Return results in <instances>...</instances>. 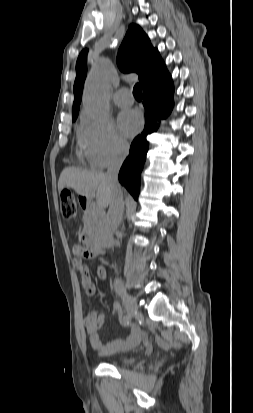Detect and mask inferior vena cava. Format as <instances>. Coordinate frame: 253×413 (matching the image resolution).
Here are the masks:
<instances>
[{
  "label": "inferior vena cava",
  "instance_id": "obj_1",
  "mask_svg": "<svg viewBox=\"0 0 253 413\" xmlns=\"http://www.w3.org/2000/svg\"><path fill=\"white\" fill-rule=\"evenodd\" d=\"M127 154L128 146L124 144L119 145L112 156L106 173L107 179L115 190V198L98 228V237L101 244L107 248L114 245L113 233L119 226L124 212L123 193L118 182V173ZM114 288L116 292H123V282L117 279L114 283Z\"/></svg>",
  "mask_w": 253,
  "mask_h": 413
}]
</instances>
